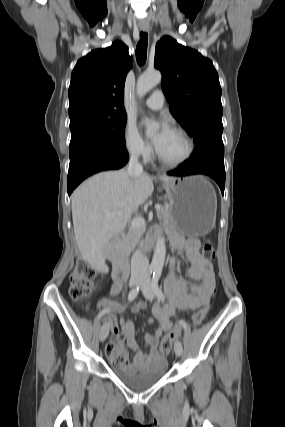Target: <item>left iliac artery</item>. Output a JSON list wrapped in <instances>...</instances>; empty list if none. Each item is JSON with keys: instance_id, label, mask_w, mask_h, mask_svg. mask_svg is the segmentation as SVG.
<instances>
[{"instance_id": "obj_1", "label": "left iliac artery", "mask_w": 285, "mask_h": 427, "mask_svg": "<svg viewBox=\"0 0 285 427\" xmlns=\"http://www.w3.org/2000/svg\"><path fill=\"white\" fill-rule=\"evenodd\" d=\"M161 272H162L161 268H156V269L154 270V272H153V277H152V288H153L154 293L156 294L157 298H158L159 300L164 301L165 296H164V294H163L162 290H161V289L159 288V286H158V281H159V278H160V276H161ZM180 324H183V322H182V321H180ZM184 339H185V338H184Z\"/></svg>"}]
</instances>
